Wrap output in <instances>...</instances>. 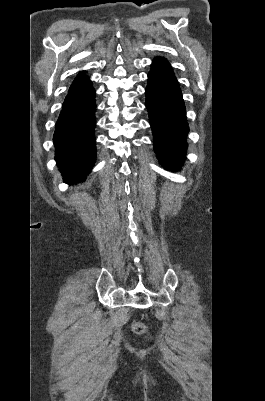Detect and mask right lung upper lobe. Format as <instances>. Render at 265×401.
Segmentation results:
<instances>
[{
    "instance_id": "cb5924a9",
    "label": "right lung upper lobe",
    "mask_w": 265,
    "mask_h": 401,
    "mask_svg": "<svg viewBox=\"0 0 265 401\" xmlns=\"http://www.w3.org/2000/svg\"><path fill=\"white\" fill-rule=\"evenodd\" d=\"M90 82L89 77L85 76L82 72H80L77 77L75 78L74 82L72 83L71 86L81 84V83H88Z\"/></svg>"
}]
</instances>
